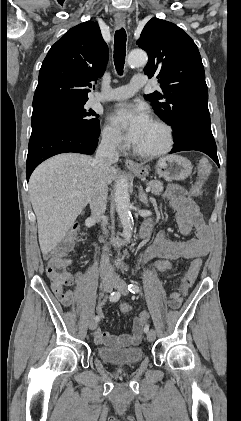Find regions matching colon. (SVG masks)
I'll use <instances>...</instances> for the list:
<instances>
[{"label":"colon","instance_id":"obj_1","mask_svg":"<svg viewBox=\"0 0 241 421\" xmlns=\"http://www.w3.org/2000/svg\"><path fill=\"white\" fill-rule=\"evenodd\" d=\"M212 167L209 161L202 158L198 162V183L193 187L192 194L198 196L203 192V185L210 177ZM78 228L75 225L62 244L46 254V274L52 281V286L55 288L69 285L73 282L72 275L67 268L69 260L67 259V251L71 249L77 239ZM201 268V260L194 259L189 270L186 272L181 280L179 294L184 295L195 283ZM152 270L156 274H164L172 270V263L167 259H158L153 262ZM122 314H129L132 311V306L129 303H124L120 307Z\"/></svg>","mask_w":241,"mask_h":421}]
</instances>
